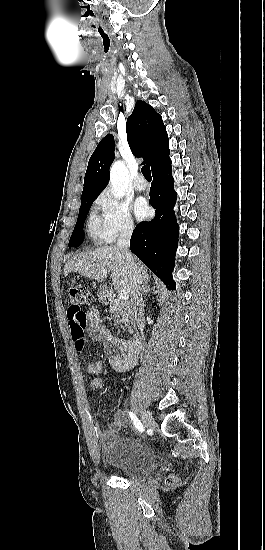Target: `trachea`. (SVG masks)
<instances>
[{
  "instance_id": "3493384b",
  "label": "trachea",
  "mask_w": 265,
  "mask_h": 550,
  "mask_svg": "<svg viewBox=\"0 0 265 550\" xmlns=\"http://www.w3.org/2000/svg\"><path fill=\"white\" fill-rule=\"evenodd\" d=\"M141 172H142L143 176L146 178V180H151L152 179L150 166L144 165L141 169Z\"/></svg>"
}]
</instances>
